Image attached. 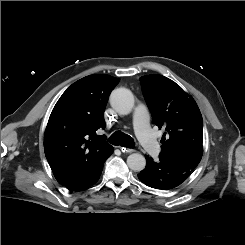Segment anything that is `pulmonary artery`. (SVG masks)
Masks as SVG:
<instances>
[{"label": "pulmonary artery", "instance_id": "1", "mask_svg": "<svg viewBox=\"0 0 245 245\" xmlns=\"http://www.w3.org/2000/svg\"><path fill=\"white\" fill-rule=\"evenodd\" d=\"M133 126L144 149L151 155H157L160 151V146L153 135L149 123V114L145 106L139 105L135 108Z\"/></svg>", "mask_w": 245, "mask_h": 245}]
</instances>
